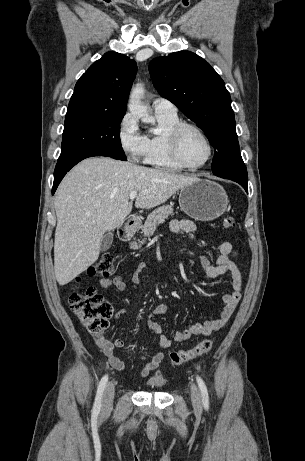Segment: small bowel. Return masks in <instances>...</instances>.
I'll use <instances>...</instances> for the list:
<instances>
[{
	"label": "small bowel",
	"instance_id": "small-bowel-1",
	"mask_svg": "<svg viewBox=\"0 0 305 461\" xmlns=\"http://www.w3.org/2000/svg\"><path fill=\"white\" fill-rule=\"evenodd\" d=\"M173 233H193L196 229L193 221L188 219H174L170 224ZM219 256L215 264H211L204 256H198V261L204 272L206 279H213L219 276L228 274L231 278V290L222 296L224 306L219 317L205 322H195L187 326V328L178 331L175 334V341L181 342L190 339L194 335L208 336L212 332L221 329L234 313L242 293V277L241 272L235 263V257L238 255L234 246L230 242H222L219 246ZM144 264H140L138 269L132 276V281L138 283L141 279V274L144 269ZM114 286L119 291L126 289V283L120 276L114 278H104L100 281V287L104 290ZM168 306L166 304L157 305L147 318V326L149 330L158 336V344L161 348L167 349L172 346V340L168 338L162 331L160 324L156 321L155 316L166 313ZM126 310L119 309L115 314V319H119ZM96 345L101 349L110 366L117 370H123L125 363L115 353V348H122L124 342L121 339H116L114 342L107 339L102 333L94 335ZM164 359V353L158 352L150 361L146 362L139 370V374L143 377L155 370ZM142 361L146 360L145 356L141 357Z\"/></svg>",
	"mask_w": 305,
	"mask_h": 461
}]
</instances>
